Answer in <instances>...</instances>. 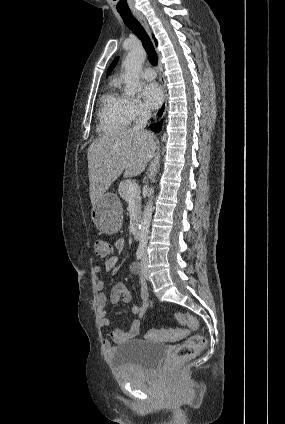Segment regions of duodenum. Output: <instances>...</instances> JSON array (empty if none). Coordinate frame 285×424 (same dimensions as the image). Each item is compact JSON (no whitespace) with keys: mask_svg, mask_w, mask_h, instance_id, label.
<instances>
[{"mask_svg":"<svg viewBox=\"0 0 285 424\" xmlns=\"http://www.w3.org/2000/svg\"><path fill=\"white\" fill-rule=\"evenodd\" d=\"M141 237H142L141 226L137 224L133 231V238L138 241L141 239Z\"/></svg>","mask_w":285,"mask_h":424,"instance_id":"1","label":"duodenum"}]
</instances>
